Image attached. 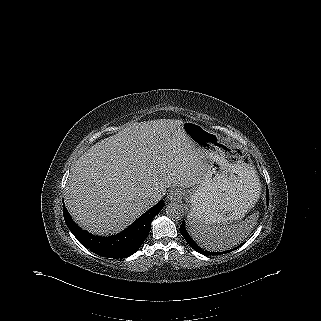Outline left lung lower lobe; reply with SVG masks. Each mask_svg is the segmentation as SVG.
<instances>
[{"label":"left lung lower lobe","instance_id":"0a47b994","mask_svg":"<svg viewBox=\"0 0 321 321\" xmlns=\"http://www.w3.org/2000/svg\"><path fill=\"white\" fill-rule=\"evenodd\" d=\"M266 200H267V205H269V192H268V189H267V192H266ZM180 233L182 234V236L184 237V239L187 241V243H188L195 251H197L198 253L206 254V255H218V254H221L220 252H209V251H204V250H202V249L193 241V239L189 236L188 232L186 231L184 221H183V223H182L181 226H180ZM230 251H232V250H230ZM228 252H229V251H228Z\"/></svg>","mask_w":321,"mask_h":321}]
</instances>
